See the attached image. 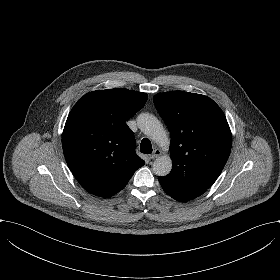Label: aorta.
I'll return each mask as SVG.
<instances>
[{
  "mask_svg": "<svg viewBox=\"0 0 280 280\" xmlns=\"http://www.w3.org/2000/svg\"><path fill=\"white\" fill-rule=\"evenodd\" d=\"M140 130L159 147H169L170 138L161 122L152 114L142 113L137 117ZM172 169V159L169 154L159 155L153 162V172L159 176H166Z\"/></svg>",
  "mask_w": 280,
  "mask_h": 280,
  "instance_id": "1",
  "label": "aorta"
}]
</instances>
